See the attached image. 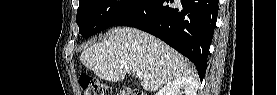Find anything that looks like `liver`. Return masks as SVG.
<instances>
[{"label":"liver","instance_id":"6515ba94","mask_svg":"<svg viewBox=\"0 0 277 95\" xmlns=\"http://www.w3.org/2000/svg\"><path fill=\"white\" fill-rule=\"evenodd\" d=\"M80 61L98 78L109 82L140 71L144 74L141 86L148 92L178 78L196 79L195 69L186 58L155 36L135 28L109 30L101 42L82 52Z\"/></svg>","mask_w":277,"mask_h":95}]
</instances>
